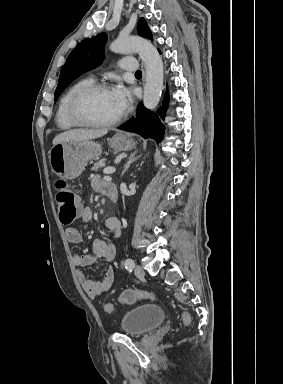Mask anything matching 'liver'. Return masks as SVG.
Listing matches in <instances>:
<instances>
[{
    "mask_svg": "<svg viewBox=\"0 0 283 384\" xmlns=\"http://www.w3.org/2000/svg\"><path fill=\"white\" fill-rule=\"evenodd\" d=\"M108 130H69L58 134L53 140V144H60V142H84V140H95L105 136Z\"/></svg>",
    "mask_w": 283,
    "mask_h": 384,
    "instance_id": "1",
    "label": "liver"
}]
</instances>
